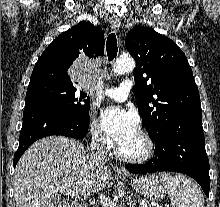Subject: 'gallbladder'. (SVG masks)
Returning a JSON list of instances; mask_svg holds the SVG:
<instances>
[{
  "label": "gallbladder",
  "mask_w": 220,
  "mask_h": 207,
  "mask_svg": "<svg viewBox=\"0 0 220 207\" xmlns=\"http://www.w3.org/2000/svg\"><path fill=\"white\" fill-rule=\"evenodd\" d=\"M65 202H61L60 207H65Z\"/></svg>",
  "instance_id": "1"
}]
</instances>
